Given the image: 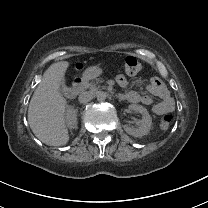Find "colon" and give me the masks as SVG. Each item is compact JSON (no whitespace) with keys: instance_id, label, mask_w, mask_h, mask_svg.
Segmentation results:
<instances>
[{"instance_id":"5ec220e1","label":"colon","mask_w":208,"mask_h":208,"mask_svg":"<svg viewBox=\"0 0 208 208\" xmlns=\"http://www.w3.org/2000/svg\"><path fill=\"white\" fill-rule=\"evenodd\" d=\"M77 68L79 71L84 69L82 63H79ZM141 69V64L135 55H128L124 60V70L129 76L135 75ZM172 124V116L170 114H165L160 120V129L166 131L170 128Z\"/></svg>"}]
</instances>
